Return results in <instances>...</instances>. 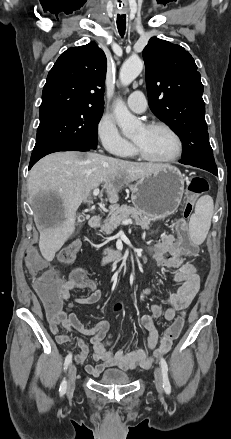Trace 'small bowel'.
I'll list each match as a JSON object with an SVG mask.
<instances>
[{
    "mask_svg": "<svg viewBox=\"0 0 231 439\" xmlns=\"http://www.w3.org/2000/svg\"><path fill=\"white\" fill-rule=\"evenodd\" d=\"M178 250H182L180 243H176L170 235L163 236L155 245L154 258L156 262L164 268L176 269L173 279L180 286L174 293L165 296L168 308L164 313L160 305L152 304L150 306V313L144 314L141 317V323L148 331L146 349H138L131 352L123 350L110 351L107 348L110 345L109 323L107 321H100L93 327L86 328L79 321L76 314L66 312L64 302L69 301L71 292L80 286L71 277L66 281L60 280V307L56 309L59 313V318L58 320H49L50 329L60 345L67 343L72 337L75 338L80 348V352L75 355L77 362H83L88 356H91L96 361L95 365L86 366L87 373L96 377L108 367H117L125 371L149 368L158 356L166 354L171 349L172 341H168L165 338H162L157 346L159 333L154 325V319L160 317L163 313L167 321L174 320L176 314L180 312V308L183 307L186 310L189 307L200 285L196 266L192 263H183L176 260ZM160 288L159 285L156 286L154 283H142L137 294L139 298L144 299L148 296H153V292ZM101 295L102 293L99 289L92 288V292L88 296L75 298L74 303L91 305L98 302ZM72 306L73 303L68 304L69 308ZM59 327H63L70 335L60 333ZM74 331L90 336L91 347L81 338L74 336ZM150 351H152V354H150Z\"/></svg>",
    "mask_w": 231,
    "mask_h": 439,
    "instance_id": "c3829d8e",
    "label": "small bowel"
}]
</instances>
